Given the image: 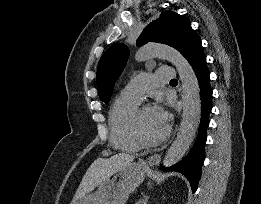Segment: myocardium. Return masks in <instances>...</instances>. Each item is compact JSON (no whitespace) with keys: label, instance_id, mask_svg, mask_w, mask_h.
<instances>
[{"label":"myocardium","instance_id":"f54148a6","mask_svg":"<svg viewBox=\"0 0 261 204\" xmlns=\"http://www.w3.org/2000/svg\"><path fill=\"white\" fill-rule=\"evenodd\" d=\"M149 107H151V105L148 103L138 106L132 116V121H131V128H132L133 135L142 147L158 146L163 142H165L171 133L170 126H167L165 132L156 139H150L144 134L141 127V115L142 112Z\"/></svg>","mask_w":261,"mask_h":204}]
</instances>
